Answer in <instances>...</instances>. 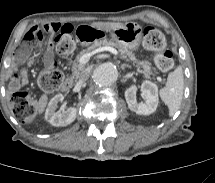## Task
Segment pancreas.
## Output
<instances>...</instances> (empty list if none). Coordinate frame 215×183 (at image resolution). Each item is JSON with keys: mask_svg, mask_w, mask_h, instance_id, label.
I'll use <instances>...</instances> for the list:
<instances>
[{"mask_svg": "<svg viewBox=\"0 0 215 183\" xmlns=\"http://www.w3.org/2000/svg\"><path fill=\"white\" fill-rule=\"evenodd\" d=\"M101 46H110V47H114L117 48L119 50V52L122 55V58L125 59H129L130 61H132L133 63H136L138 67H142L144 70V75L146 78H149L150 74H151V64L147 61H138L136 59V57L134 56V54L129 51L128 49H126L125 47L119 45L118 43L112 42V41H107V40H100V41H96L94 42L92 45L88 46L86 49L82 50L77 56L76 59L74 61L71 62L72 64V78L73 79H78L81 72L85 69V65L80 63V58L86 54L89 53L95 49H97L98 47Z\"/></svg>", "mask_w": 215, "mask_h": 183, "instance_id": "obj_1", "label": "pancreas"}]
</instances>
